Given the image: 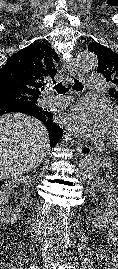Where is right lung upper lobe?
<instances>
[{
	"label": "right lung upper lobe",
	"instance_id": "1",
	"mask_svg": "<svg viewBox=\"0 0 118 269\" xmlns=\"http://www.w3.org/2000/svg\"><path fill=\"white\" fill-rule=\"evenodd\" d=\"M56 52L48 45L34 44L12 55L0 69V102L18 101L34 108L32 116L47 124L50 139L57 133L53 113L38 106L44 86L56 74Z\"/></svg>",
	"mask_w": 118,
	"mask_h": 269
}]
</instances>
